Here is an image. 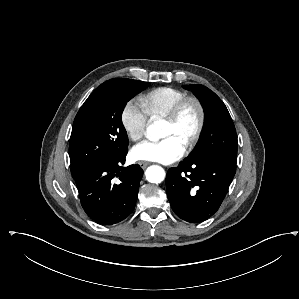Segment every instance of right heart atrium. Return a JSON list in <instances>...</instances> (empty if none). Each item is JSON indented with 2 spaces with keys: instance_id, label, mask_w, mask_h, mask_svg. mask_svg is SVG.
<instances>
[{
  "instance_id": "right-heart-atrium-1",
  "label": "right heart atrium",
  "mask_w": 299,
  "mask_h": 299,
  "mask_svg": "<svg viewBox=\"0 0 299 299\" xmlns=\"http://www.w3.org/2000/svg\"><path fill=\"white\" fill-rule=\"evenodd\" d=\"M120 122L127 137L137 141L145 134L148 115L139 102L129 100L121 110Z\"/></svg>"
}]
</instances>
